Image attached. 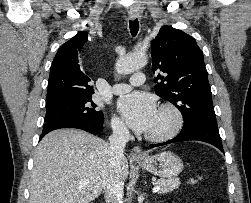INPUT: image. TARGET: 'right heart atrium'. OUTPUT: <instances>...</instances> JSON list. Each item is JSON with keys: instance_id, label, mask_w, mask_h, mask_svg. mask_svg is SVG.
Masks as SVG:
<instances>
[{"instance_id": "d8ad5b80", "label": "right heart atrium", "mask_w": 251, "mask_h": 203, "mask_svg": "<svg viewBox=\"0 0 251 203\" xmlns=\"http://www.w3.org/2000/svg\"><path fill=\"white\" fill-rule=\"evenodd\" d=\"M111 126L114 133L117 135H125L127 133V128L124 122L119 118L114 117L111 121Z\"/></svg>"}]
</instances>
